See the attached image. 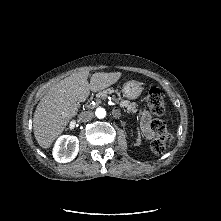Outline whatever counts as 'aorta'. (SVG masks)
<instances>
[{"label":"aorta","mask_w":221,"mask_h":221,"mask_svg":"<svg viewBox=\"0 0 221 221\" xmlns=\"http://www.w3.org/2000/svg\"><path fill=\"white\" fill-rule=\"evenodd\" d=\"M95 115L97 116V118L102 119L106 116V111L104 108L99 107L96 109Z\"/></svg>","instance_id":"aorta-1"}]
</instances>
